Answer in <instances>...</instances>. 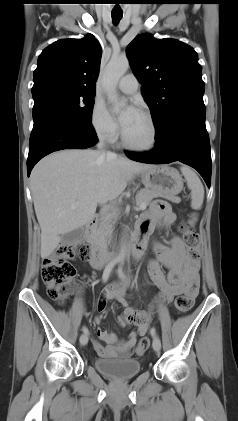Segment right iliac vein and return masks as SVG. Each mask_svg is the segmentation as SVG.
I'll list each match as a JSON object with an SVG mask.
<instances>
[{
  "mask_svg": "<svg viewBox=\"0 0 238 421\" xmlns=\"http://www.w3.org/2000/svg\"><path fill=\"white\" fill-rule=\"evenodd\" d=\"M88 335L86 333L80 336V343L81 345L85 346L88 343Z\"/></svg>",
  "mask_w": 238,
  "mask_h": 421,
  "instance_id": "right-iliac-vein-1",
  "label": "right iliac vein"
}]
</instances>
